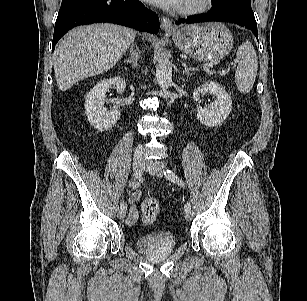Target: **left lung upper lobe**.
<instances>
[{
	"instance_id": "left-lung-upper-lobe-1",
	"label": "left lung upper lobe",
	"mask_w": 307,
	"mask_h": 301,
	"mask_svg": "<svg viewBox=\"0 0 307 301\" xmlns=\"http://www.w3.org/2000/svg\"><path fill=\"white\" fill-rule=\"evenodd\" d=\"M215 9L229 7H251V0H213Z\"/></svg>"
}]
</instances>
